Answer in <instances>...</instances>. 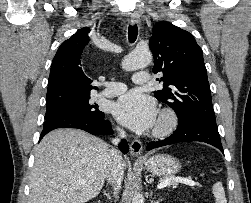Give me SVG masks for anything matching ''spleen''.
Masks as SVG:
<instances>
[{
    "instance_id": "obj_1",
    "label": "spleen",
    "mask_w": 251,
    "mask_h": 203,
    "mask_svg": "<svg viewBox=\"0 0 251 203\" xmlns=\"http://www.w3.org/2000/svg\"><path fill=\"white\" fill-rule=\"evenodd\" d=\"M212 192L215 196L216 203H227L224 188L221 182H216L213 185Z\"/></svg>"
}]
</instances>
